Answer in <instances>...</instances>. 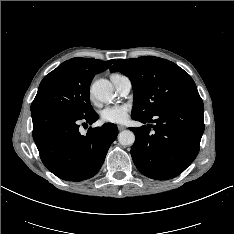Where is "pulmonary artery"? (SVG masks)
Listing matches in <instances>:
<instances>
[{"label": "pulmonary artery", "mask_w": 234, "mask_h": 234, "mask_svg": "<svg viewBox=\"0 0 234 234\" xmlns=\"http://www.w3.org/2000/svg\"><path fill=\"white\" fill-rule=\"evenodd\" d=\"M111 81L120 95L124 96L130 92L132 84L127 76L119 74L112 75Z\"/></svg>", "instance_id": "1"}]
</instances>
